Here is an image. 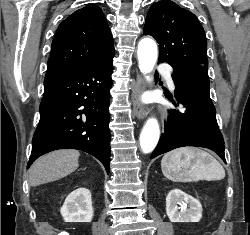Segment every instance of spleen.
Segmentation results:
<instances>
[{"instance_id": "obj_1", "label": "spleen", "mask_w": 250, "mask_h": 235, "mask_svg": "<svg viewBox=\"0 0 250 235\" xmlns=\"http://www.w3.org/2000/svg\"><path fill=\"white\" fill-rule=\"evenodd\" d=\"M162 173L174 182L222 180L223 166L208 152L193 147H181L168 152L161 161Z\"/></svg>"}]
</instances>
